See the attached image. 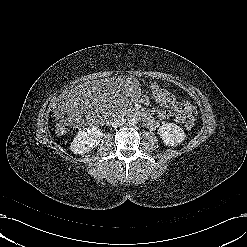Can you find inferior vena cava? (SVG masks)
<instances>
[{"label":"inferior vena cava","mask_w":247,"mask_h":247,"mask_svg":"<svg viewBox=\"0 0 247 247\" xmlns=\"http://www.w3.org/2000/svg\"><path fill=\"white\" fill-rule=\"evenodd\" d=\"M126 122V119L123 117V116H120V115H116L112 118L110 124L113 126V127H119V126H122L123 124H125Z\"/></svg>","instance_id":"602c4592"}]
</instances>
